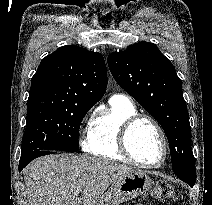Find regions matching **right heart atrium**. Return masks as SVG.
<instances>
[{
	"label": "right heart atrium",
	"mask_w": 212,
	"mask_h": 205,
	"mask_svg": "<svg viewBox=\"0 0 212 205\" xmlns=\"http://www.w3.org/2000/svg\"><path fill=\"white\" fill-rule=\"evenodd\" d=\"M88 117H86V119H87ZM89 132V130H88V128L87 127H82V129H81V134L82 135H84V134H86V133H88Z\"/></svg>",
	"instance_id": "obj_1"
}]
</instances>
